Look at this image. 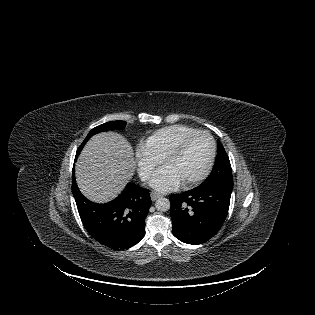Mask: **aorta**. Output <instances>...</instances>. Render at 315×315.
Here are the masks:
<instances>
[{"mask_svg":"<svg viewBox=\"0 0 315 315\" xmlns=\"http://www.w3.org/2000/svg\"><path fill=\"white\" fill-rule=\"evenodd\" d=\"M170 201L169 199L165 198V197H161L159 199L156 200L155 202V207L158 211L161 212H166L170 209Z\"/></svg>","mask_w":315,"mask_h":315,"instance_id":"obj_1","label":"aorta"}]
</instances>
